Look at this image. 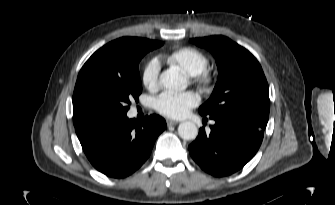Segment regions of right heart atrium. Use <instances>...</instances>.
Returning <instances> with one entry per match:
<instances>
[{
  "label": "right heart atrium",
  "mask_w": 335,
  "mask_h": 205,
  "mask_svg": "<svg viewBox=\"0 0 335 205\" xmlns=\"http://www.w3.org/2000/svg\"><path fill=\"white\" fill-rule=\"evenodd\" d=\"M160 62L158 59H151L144 67L142 73L143 85L153 91L159 84Z\"/></svg>",
  "instance_id": "obj_1"
}]
</instances>
